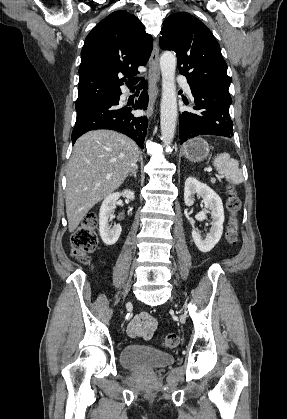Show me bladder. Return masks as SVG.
I'll return each mask as SVG.
<instances>
[{
    "instance_id": "1",
    "label": "bladder",
    "mask_w": 287,
    "mask_h": 419,
    "mask_svg": "<svg viewBox=\"0 0 287 419\" xmlns=\"http://www.w3.org/2000/svg\"><path fill=\"white\" fill-rule=\"evenodd\" d=\"M121 362L130 369L153 370L172 364L174 357L155 348L131 345L122 350Z\"/></svg>"
}]
</instances>
